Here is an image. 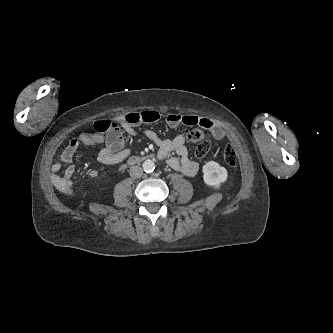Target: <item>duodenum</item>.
<instances>
[{
    "mask_svg": "<svg viewBox=\"0 0 333 333\" xmlns=\"http://www.w3.org/2000/svg\"><path fill=\"white\" fill-rule=\"evenodd\" d=\"M145 159V157L143 156H132L130 157L126 164L124 165V167L128 166V165H134V164H137V163H140L142 162L143 160Z\"/></svg>",
    "mask_w": 333,
    "mask_h": 333,
    "instance_id": "410a0bca",
    "label": "duodenum"
}]
</instances>
